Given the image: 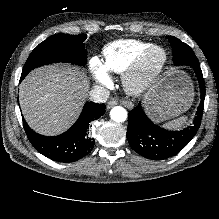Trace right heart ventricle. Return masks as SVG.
Here are the masks:
<instances>
[{"label":"right heart ventricle","instance_id":"e07e8e85","mask_svg":"<svg viewBox=\"0 0 219 219\" xmlns=\"http://www.w3.org/2000/svg\"><path fill=\"white\" fill-rule=\"evenodd\" d=\"M152 46V43L137 39L114 40L103 50L102 65L109 72L123 73Z\"/></svg>","mask_w":219,"mask_h":219}]
</instances>
